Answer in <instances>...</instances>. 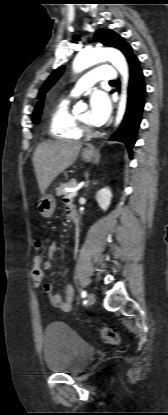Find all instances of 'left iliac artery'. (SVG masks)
<instances>
[{
  "instance_id": "left-iliac-artery-1",
  "label": "left iliac artery",
  "mask_w": 168,
  "mask_h": 415,
  "mask_svg": "<svg viewBox=\"0 0 168 415\" xmlns=\"http://www.w3.org/2000/svg\"><path fill=\"white\" fill-rule=\"evenodd\" d=\"M86 296H87V292H86L85 290H84V291H82V292H81V297H82V298H85Z\"/></svg>"
}]
</instances>
